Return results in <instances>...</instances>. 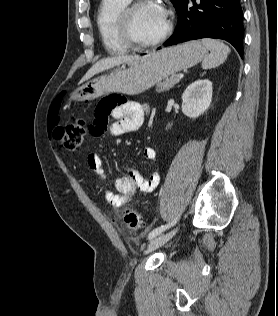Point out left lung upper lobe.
Masks as SVG:
<instances>
[{
    "mask_svg": "<svg viewBox=\"0 0 278 316\" xmlns=\"http://www.w3.org/2000/svg\"><path fill=\"white\" fill-rule=\"evenodd\" d=\"M180 1H181V0H171V2L173 3L175 9L178 7Z\"/></svg>",
    "mask_w": 278,
    "mask_h": 316,
    "instance_id": "1",
    "label": "left lung upper lobe"
}]
</instances>
